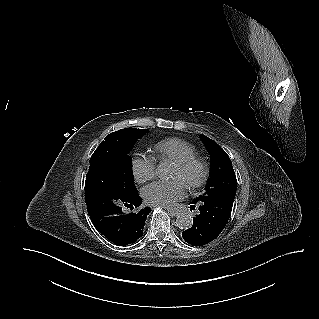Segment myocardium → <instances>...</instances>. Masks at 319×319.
<instances>
[{
    "instance_id": "myocardium-1",
    "label": "myocardium",
    "mask_w": 319,
    "mask_h": 319,
    "mask_svg": "<svg viewBox=\"0 0 319 319\" xmlns=\"http://www.w3.org/2000/svg\"><path fill=\"white\" fill-rule=\"evenodd\" d=\"M181 171H188L193 166H198L200 169V173L198 177L194 180H190L187 182V185L190 189H196L201 187L208 179L209 176V166L206 160L200 156L193 155L187 158H184L176 163H174Z\"/></svg>"
}]
</instances>
